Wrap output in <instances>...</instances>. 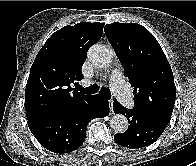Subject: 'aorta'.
I'll list each match as a JSON object with an SVG mask.
<instances>
[{
	"label": "aorta",
	"instance_id": "1",
	"mask_svg": "<svg viewBox=\"0 0 196 166\" xmlns=\"http://www.w3.org/2000/svg\"><path fill=\"white\" fill-rule=\"evenodd\" d=\"M113 50L106 45L95 44L88 52V59L100 68L108 67L113 61ZM128 120L122 114H115L110 119V127L116 133H123L128 128Z\"/></svg>",
	"mask_w": 196,
	"mask_h": 166
}]
</instances>
